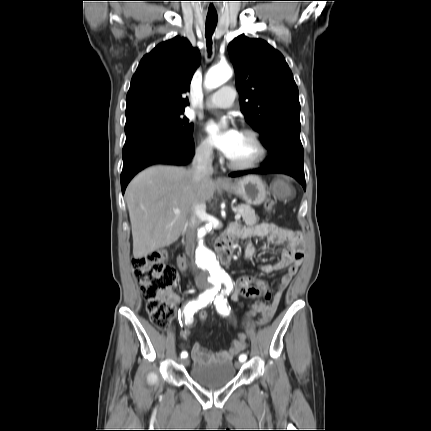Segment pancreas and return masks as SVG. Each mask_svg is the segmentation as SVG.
<instances>
[{
    "label": "pancreas",
    "instance_id": "cf45deb5",
    "mask_svg": "<svg viewBox=\"0 0 431 431\" xmlns=\"http://www.w3.org/2000/svg\"><path fill=\"white\" fill-rule=\"evenodd\" d=\"M238 209L241 210V216L246 225L253 226L258 222V217L255 215L254 209L249 205L240 204Z\"/></svg>",
    "mask_w": 431,
    "mask_h": 431
}]
</instances>
